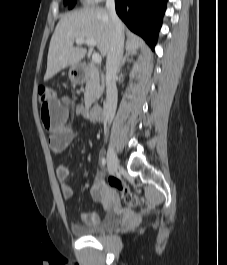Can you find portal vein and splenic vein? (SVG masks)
I'll return each mask as SVG.
<instances>
[{"label":"portal vein and splenic vein","mask_w":227,"mask_h":265,"mask_svg":"<svg viewBox=\"0 0 227 265\" xmlns=\"http://www.w3.org/2000/svg\"><path fill=\"white\" fill-rule=\"evenodd\" d=\"M76 44L77 45H81L83 43H86L88 44L90 47H94L96 46V41L94 39H83V38H77L75 40ZM102 61V57L99 53H93L92 55V62L98 64V63H101Z\"/></svg>","instance_id":"1"}]
</instances>
